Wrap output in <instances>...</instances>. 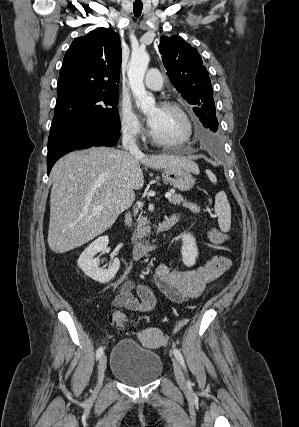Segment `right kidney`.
Masks as SVG:
<instances>
[{"instance_id":"1","label":"right kidney","mask_w":299,"mask_h":427,"mask_svg":"<svg viewBox=\"0 0 299 427\" xmlns=\"http://www.w3.org/2000/svg\"><path fill=\"white\" fill-rule=\"evenodd\" d=\"M109 243L108 236H101L93 241L80 255L78 259V266L81 270L99 283H107L113 279L120 267V261L118 258L113 260L112 265L107 269L99 267V259L94 258L98 252H109L110 249L107 247Z\"/></svg>"}]
</instances>
